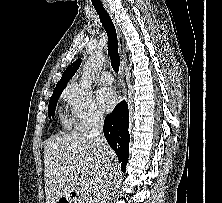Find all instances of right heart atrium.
I'll list each match as a JSON object with an SVG mask.
<instances>
[{
    "label": "right heart atrium",
    "mask_w": 222,
    "mask_h": 203,
    "mask_svg": "<svg viewBox=\"0 0 222 203\" xmlns=\"http://www.w3.org/2000/svg\"><path fill=\"white\" fill-rule=\"evenodd\" d=\"M75 126L85 130L103 119V113L94 101L92 94L76 85L65 93Z\"/></svg>",
    "instance_id": "1"
}]
</instances>
